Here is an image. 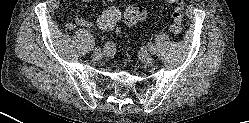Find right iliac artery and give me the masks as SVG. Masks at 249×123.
I'll use <instances>...</instances> for the list:
<instances>
[{"instance_id":"obj_1","label":"right iliac artery","mask_w":249,"mask_h":123,"mask_svg":"<svg viewBox=\"0 0 249 123\" xmlns=\"http://www.w3.org/2000/svg\"><path fill=\"white\" fill-rule=\"evenodd\" d=\"M111 48H112V44H111L110 42H107V43L104 45V50H105V51H109Z\"/></svg>"}]
</instances>
